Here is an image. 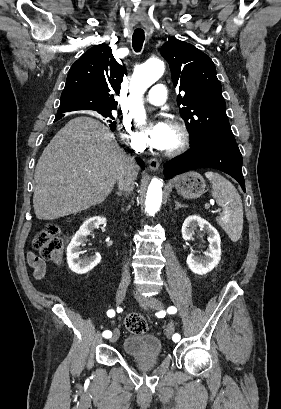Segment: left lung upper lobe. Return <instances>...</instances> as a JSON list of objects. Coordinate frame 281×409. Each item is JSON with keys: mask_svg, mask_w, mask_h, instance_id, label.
Instances as JSON below:
<instances>
[{"mask_svg": "<svg viewBox=\"0 0 281 409\" xmlns=\"http://www.w3.org/2000/svg\"><path fill=\"white\" fill-rule=\"evenodd\" d=\"M161 55L169 63L178 95L180 114L191 143L205 139L236 143L226 115L222 87L211 58L193 45L177 39L166 42Z\"/></svg>", "mask_w": 281, "mask_h": 409, "instance_id": "obj_1", "label": "left lung upper lobe"}]
</instances>
